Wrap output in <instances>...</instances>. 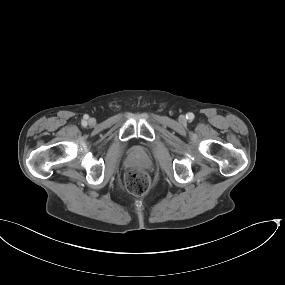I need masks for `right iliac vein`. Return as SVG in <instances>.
<instances>
[{"instance_id":"right-iliac-vein-1","label":"right iliac vein","mask_w":285,"mask_h":285,"mask_svg":"<svg viewBox=\"0 0 285 285\" xmlns=\"http://www.w3.org/2000/svg\"><path fill=\"white\" fill-rule=\"evenodd\" d=\"M88 123H89L90 125H92V124L94 123V120H93V119H90V120L88 121Z\"/></svg>"}]
</instances>
